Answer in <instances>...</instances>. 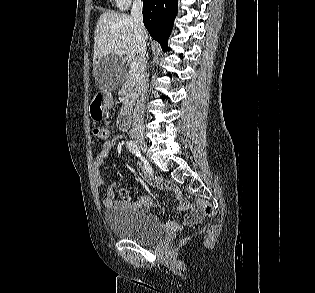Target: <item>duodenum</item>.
Instances as JSON below:
<instances>
[{"mask_svg": "<svg viewBox=\"0 0 315 293\" xmlns=\"http://www.w3.org/2000/svg\"><path fill=\"white\" fill-rule=\"evenodd\" d=\"M131 122V112L128 109H125L119 118L118 125L122 130H127L131 126Z\"/></svg>", "mask_w": 315, "mask_h": 293, "instance_id": "obj_1", "label": "duodenum"}]
</instances>
